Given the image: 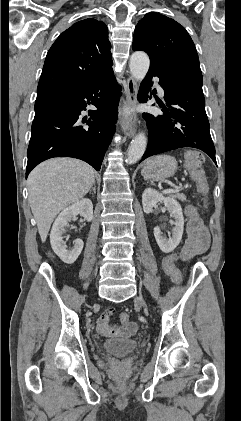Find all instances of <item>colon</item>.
I'll list each match as a JSON object with an SVG mask.
<instances>
[{"label":"colon","instance_id":"5ec220e1","mask_svg":"<svg viewBox=\"0 0 241 421\" xmlns=\"http://www.w3.org/2000/svg\"><path fill=\"white\" fill-rule=\"evenodd\" d=\"M203 161V155L198 151H190L186 154L185 157L186 166L190 171L192 178L197 184L199 193L205 196L208 193L209 186L205 173L201 169ZM179 258L180 253H174L164 260V268L172 281L175 283H180L182 281L181 272L176 267V262L179 260ZM120 320L123 324H127L130 322V317L127 313H122L120 315Z\"/></svg>","mask_w":241,"mask_h":421}]
</instances>
